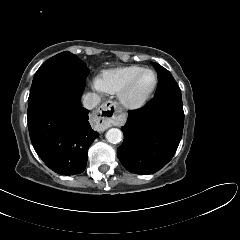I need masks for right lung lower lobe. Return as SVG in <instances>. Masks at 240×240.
<instances>
[{
  "instance_id": "obj_1",
  "label": "right lung lower lobe",
  "mask_w": 240,
  "mask_h": 240,
  "mask_svg": "<svg viewBox=\"0 0 240 240\" xmlns=\"http://www.w3.org/2000/svg\"><path fill=\"white\" fill-rule=\"evenodd\" d=\"M84 86L57 84L28 100V128L42 161L62 175L82 173L87 151L98 133L89 125V111L81 106Z\"/></svg>"
}]
</instances>
